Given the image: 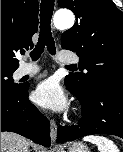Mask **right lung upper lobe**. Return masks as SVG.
Segmentation results:
<instances>
[{
  "label": "right lung upper lobe",
  "mask_w": 123,
  "mask_h": 152,
  "mask_svg": "<svg viewBox=\"0 0 123 152\" xmlns=\"http://www.w3.org/2000/svg\"><path fill=\"white\" fill-rule=\"evenodd\" d=\"M38 11L37 0H1V68L17 69L16 52L33 47Z\"/></svg>",
  "instance_id": "right-lung-upper-lobe-1"
}]
</instances>
